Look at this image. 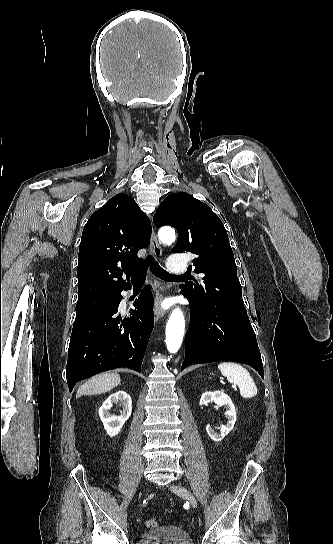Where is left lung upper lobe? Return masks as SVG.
<instances>
[{"label": "left lung upper lobe", "mask_w": 333, "mask_h": 544, "mask_svg": "<svg viewBox=\"0 0 333 544\" xmlns=\"http://www.w3.org/2000/svg\"><path fill=\"white\" fill-rule=\"evenodd\" d=\"M153 221L157 227L171 225L178 231L172 252L197 255L194 272L205 276L201 282L193 279L181 285V291L202 306L251 327L234 255L219 217L206 204L179 192L161 203Z\"/></svg>", "instance_id": "left-lung-upper-lobe-1"}]
</instances>
